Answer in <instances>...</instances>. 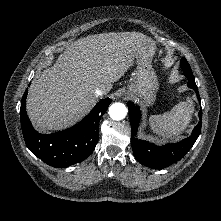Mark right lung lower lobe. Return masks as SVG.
Wrapping results in <instances>:
<instances>
[{
    "label": "right lung lower lobe",
    "instance_id": "1",
    "mask_svg": "<svg viewBox=\"0 0 221 221\" xmlns=\"http://www.w3.org/2000/svg\"><path fill=\"white\" fill-rule=\"evenodd\" d=\"M26 89L21 102L20 117L24 140L28 149L46 164L65 168L88 158L99 139V122L108 109L109 98L99 101L77 125L51 134L38 133L26 112Z\"/></svg>",
    "mask_w": 221,
    "mask_h": 221
}]
</instances>
